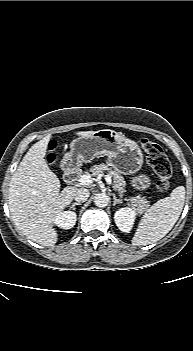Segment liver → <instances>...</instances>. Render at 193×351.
<instances>
[{
  "mask_svg": "<svg viewBox=\"0 0 193 351\" xmlns=\"http://www.w3.org/2000/svg\"><path fill=\"white\" fill-rule=\"evenodd\" d=\"M95 131H80L79 137H89ZM52 136L36 142L25 154L11 177L8 205L17 228L30 240L52 246L58 240L53 228L55 216L71 203L76 187H65L60 192V180L44 157Z\"/></svg>",
  "mask_w": 193,
  "mask_h": 351,
  "instance_id": "1",
  "label": "liver"
}]
</instances>
